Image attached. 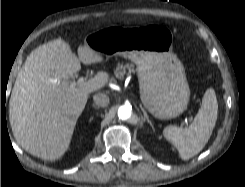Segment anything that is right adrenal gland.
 I'll list each match as a JSON object with an SVG mask.
<instances>
[{
    "instance_id": "right-adrenal-gland-1",
    "label": "right adrenal gland",
    "mask_w": 245,
    "mask_h": 187,
    "mask_svg": "<svg viewBox=\"0 0 245 187\" xmlns=\"http://www.w3.org/2000/svg\"><path fill=\"white\" fill-rule=\"evenodd\" d=\"M92 107H93L94 109H99V107H97V106L94 105V104H92Z\"/></svg>"
}]
</instances>
